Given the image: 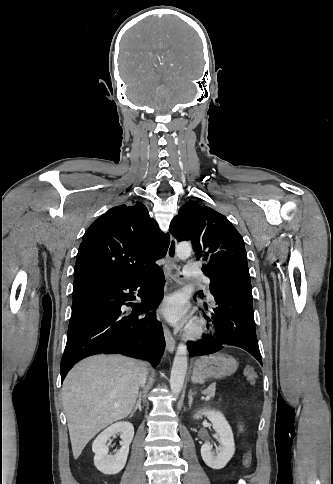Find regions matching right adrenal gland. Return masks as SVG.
I'll return each mask as SVG.
<instances>
[{"mask_svg": "<svg viewBox=\"0 0 333 484\" xmlns=\"http://www.w3.org/2000/svg\"><path fill=\"white\" fill-rule=\"evenodd\" d=\"M141 401H142V393L140 392L138 395V400L136 405L134 406V409L132 410L131 414L129 417H132L134 413L136 412L137 409H139L140 412H142V406H141Z\"/></svg>", "mask_w": 333, "mask_h": 484, "instance_id": "obj_1", "label": "right adrenal gland"}]
</instances>
